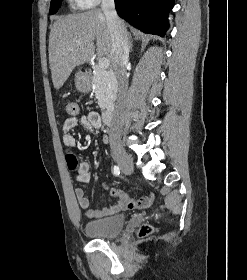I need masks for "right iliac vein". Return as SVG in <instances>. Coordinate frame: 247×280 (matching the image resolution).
<instances>
[{
    "label": "right iliac vein",
    "instance_id": "right-iliac-vein-1",
    "mask_svg": "<svg viewBox=\"0 0 247 280\" xmlns=\"http://www.w3.org/2000/svg\"><path fill=\"white\" fill-rule=\"evenodd\" d=\"M112 153L121 171L125 174H131L134 170V165L130 156L119 146H114Z\"/></svg>",
    "mask_w": 247,
    "mask_h": 280
}]
</instances>
